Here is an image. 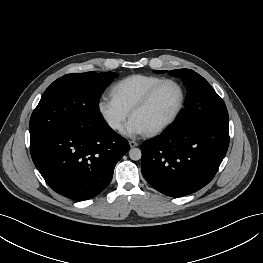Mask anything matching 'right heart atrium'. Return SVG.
<instances>
[{"mask_svg": "<svg viewBox=\"0 0 263 263\" xmlns=\"http://www.w3.org/2000/svg\"><path fill=\"white\" fill-rule=\"evenodd\" d=\"M98 112L105 124L113 131L119 130L129 115V111L122 107L112 95L100 97Z\"/></svg>", "mask_w": 263, "mask_h": 263, "instance_id": "1", "label": "right heart atrium"}]
</instances>
